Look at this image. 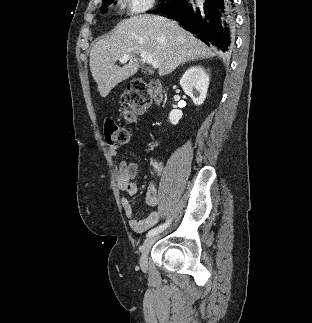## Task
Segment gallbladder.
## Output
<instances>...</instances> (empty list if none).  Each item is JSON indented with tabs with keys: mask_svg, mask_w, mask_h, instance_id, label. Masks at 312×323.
<instances>
[{
	"mask_svg": "<svg viewBox=\"0 0 312 323\" xmlns=\"http://www.w3.org/2000/svg\"><path fill=\"white\" fill-rule=\"evenodd\" d=\"M149 74H153V72H149Z\"/></svg>",
	"mask_w": 312,
	"mask_h": 323,
	"instance_id": "obj_1",
	"label": "gallbladder"
}]
</instances>
